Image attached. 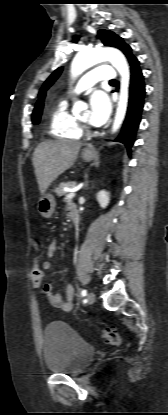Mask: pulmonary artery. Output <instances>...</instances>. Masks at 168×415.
Returning <instances> with one entry per match:
<instances>
[{
	"label": "pulmonary artery",
	"mask_w": 168,
	"mask_h": 415,
	"mask_svg": "<svg viewBox=\"0 0 168 415\" xmlns=\"http://www.w3.org/2000/svg\"><path fill=\"white\" fill-rule=\"evenodd\" d=\"M116 74L114 69L109 65H102L98 66L91 71H89L87 74H85L77 83L74 93H80L90 87H92L94 84H96L98 81H111L115 78Z\"/></svg>",
	"instance_id": "obj_1"
}]
</instances>
